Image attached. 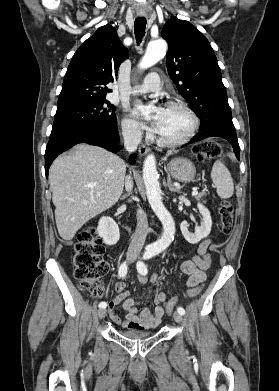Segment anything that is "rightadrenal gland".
I'll return each mask as SVG.
<instances>
[{"mask_svg":"<svg viewBox=\"0 0 279 391\" xmlns=\"http://www.w3.org/2000/svg\"><path fill=\"white\" fill-rule=\"evenodd\" d=\"M126 197H127V194H124V195L121 196V199L123 200V199H125Z\"/></svg>","mask_w":279,"mask_h":391,"instance_id":"obj_1","label":"right adrenal gland"}]
</instances>
